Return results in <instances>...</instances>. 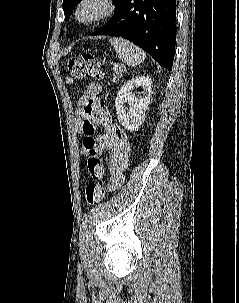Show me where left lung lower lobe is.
Listing matches in <instances>:
<instances>
[{
  "label": "left lung lower lobe",
  "instance_id": "left-lung-lower-lobe-1",
  "mask_svg": "<svg viewBox=\"0 0 239 303\" xmlns=\"http://www.w3.org/2000/svg\"><path fill=\"white\" fill-rule=\"evenodd\" d=\"M175 22L176 0H123L107 24L91 35L123 37L172 70Z\"/></svg>",
  "mask_w": 239,
  "mask_h": 303
}]
</instances>
